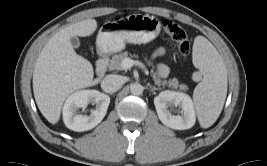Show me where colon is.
I'll return each instance as SVG.
<instances>
[{"label": "colon", "instance_id": "colon-1", "mask_svg": "<svg viewBox=\"0 0 267 166\" xmlns=\"http://www.w3.org/2000/svg\"><path fill=\"white\" fill-rule=\"evenodd\" d=\"M163 30L177 44V48L181 55L188 56L190 52V42L185 29L178 23L166 19L163 21Z\"/></svg>", "mask_w": 267, "mask_h": 166}]
</instances>
